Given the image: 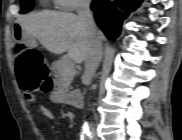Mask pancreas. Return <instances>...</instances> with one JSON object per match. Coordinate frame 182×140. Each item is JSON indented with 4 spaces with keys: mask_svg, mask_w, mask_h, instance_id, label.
Returning a JSON list of instances; mask_svg holds the SVG:
<instances>
[{
    "mask_svg": "<svg viewBox=\"0 0 182 140\" xmlns=\"http://www.w3.org/2000/svg\"><path fill=\"white\" fill-rule=\"evenodd\" d=\"M54 83L58 91L66 92L76 74L74 63L65 58L59 59L52 64Z\"/></svg>",
    "mask_w": 182,
    "mask_h": 140,
    "instance_id": "1",
    "label": "pancreas"
}]
</instances>
